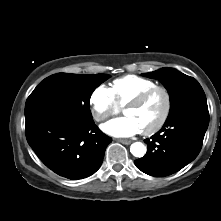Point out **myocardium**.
Wrapping results in <instances>:
<instances>
[{
    "instance_id": "f54148a6",
    "label": "myocardium",
    "mask_w": 221,
    "mask_h": 221,
    "mask_svg": "<svg viewBox=\"0 0 221 221\" xmlns=\"http://www.w3.org/2000/svg\"><path fill=\"white\" fill-rule=\"evenodd\" d=\"M157 91H161L164 94L165 109H164V112H163L161 118L153 127L146 129V130H142V133L144 135H153V134L159 132L166 124V122L170 116L171 109H172V98H171V94H170V91L168 90V88H166L165 86H162V85H155V86L145 90L144 92H142L141 94H139L138 96L133 98L131 101H129L124 106V109H123V111L125 113V111L128 108H133V107H137V106L142 105Z\"/></svg>"
}]
</instances>
